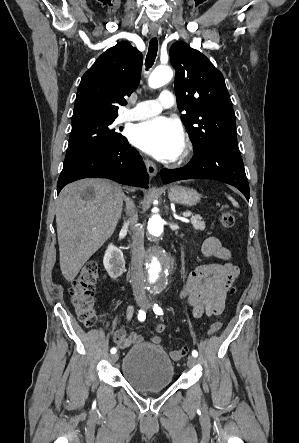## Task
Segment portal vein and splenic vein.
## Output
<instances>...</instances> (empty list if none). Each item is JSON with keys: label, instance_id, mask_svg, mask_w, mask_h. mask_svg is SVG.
I'll return each mask as SVG.
<instances>
[{"label": "portal vein and splenic vein", "instance_id": "18ae733b", "mask_svg": "<svg viewBox=\"0 0 299 443\" xmlns=\"http://www.w3.org/2000/svg\"><path fill=\"white\" fill-rule=\"evenodd\" d=\"M183 216H184V217H190V216H191V213H190V212H185V213H183Z\"/></svg>", "mask_w": 299, "mask_h": 443}]
</instances>
